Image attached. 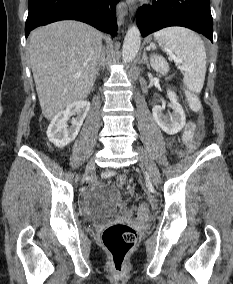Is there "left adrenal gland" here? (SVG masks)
<instances>
[{"label": "left adrenal gland", "instance_id": "a2214340", "mask_svg": "<svg viewBox=\"0 0 233 284\" xmlns=\"http://www.w3.org/2000/svg\"><path fill=\"white\" fill-rule=\"evenodd\" d=\"M141 62L145 63L147 65L148 69H150V64H149L148 57H147L145 51L143 52V56H142Z\"/></svg>", "mask_w": 233, "mask_h": 284}]
</instances>
